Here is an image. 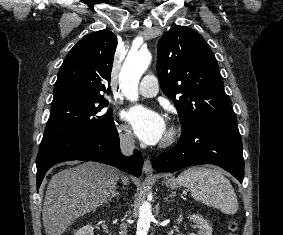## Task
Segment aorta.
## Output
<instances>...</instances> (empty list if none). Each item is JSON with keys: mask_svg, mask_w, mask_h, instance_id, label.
I'll use <instances>...</instances> for the list:
<instances>
[{"mask_svg": "<svg viewBox=\"0 0 283 235\" xmlns=\"http://www.w3.org/2000/svg\"><path fill=\"white\" fill-rule=\"evenodd\" d=\"M151 60L152 55L148 50L129 52L126 57L119 75V86L128 100L136 101L138 99L139 80ZM151 218V205L144 201L139 208L136 235L148 234Z\"/></svg>", "mask_w": 283, "mask_h": 235, "instance_id": "obj_1", "label": "aorta"}]
</instances>
